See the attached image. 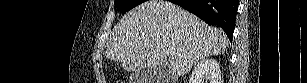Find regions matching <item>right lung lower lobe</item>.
Returning a JSON list of instances; mask_svg holds the SVG:
<instances>
[{"label": "right lung lower lobe", "instance_id": "98d812e1", "mask_svg": "<svg viewBox=\"0 0 307 83\" xmlns=\"http://www.w3.org/2000/svg\"><path fill=\"white\" fill-rule=\"evenodd\" d=\"M171 2L192 12L209 25H218L232 40L238 0H172Z\"/></svg>", "mask_w": 307, "mask_h": 83}]
</instances>
